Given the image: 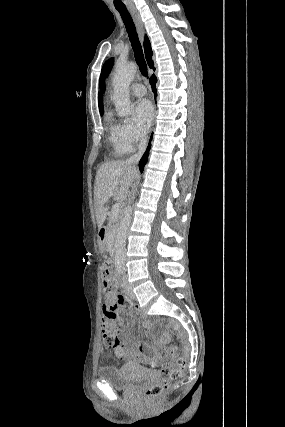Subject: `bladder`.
<instances>
[{"mask_svg": "<svg viewBox=\"0 0 285 427\" xmlns=\"http://www.w3.org/2000/svg\"><path fill=\"white\" fill-rule=\"evenodd\" d=\"M99 380L111 385L130 389L150 374L147 370L132 364L122 366H105L97 371Z\"/></svg>", "mask_w": 285, "mask_h": 427, "instance_id": "obj_1", "label": "bladder"}]
</instances>
